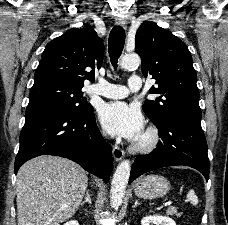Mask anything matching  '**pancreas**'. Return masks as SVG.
<instances>
[{
    "mask_svg": "<svg viewBox=\"0 0 228 225\" xmlns=\"http://www.w3.org/2000/svg\"><path fill=\"white\" fill-rule=\"evenodd\" d=\"M178 207H168L166 213L167 215H177V217H181V213H177Z\"/></svg>",
    "mask_w": 228,
    "mask_h": 225,
    "instance_id": "cf45deb5",
    "label": "pancreas"
}]
</instances>
